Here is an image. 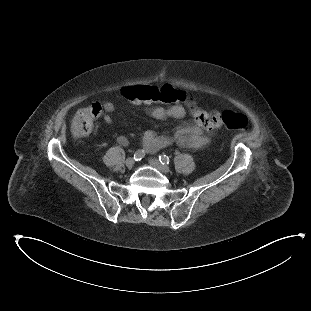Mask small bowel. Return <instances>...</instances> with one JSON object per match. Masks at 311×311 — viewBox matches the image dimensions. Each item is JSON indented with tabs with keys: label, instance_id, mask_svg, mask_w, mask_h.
I'll return each mask as SVG.
<instances>
[{
	"label": "small bowel",
	"instance_id": "c3829d8e",
	"mask_svg": "<svg viewBox=\"0 0 311 311\" xmlns=\"http://www.w3.org/2000/svg\"><path fill=\"white\" fill-rule=\"evenodd\" d=\"M104 110L106 113H111L116 110V105L113 102H105ZM147 113L154 119L164 120L167 118L182 119L186 115V110L181 105H173L168 108L158 106H148ZM104 121L108 125L113 124V119L108 114L104 115ZM209 138L205 134L203 127L199 123H191L180 128L174 136H161L153 131H147L142 138L144 149L153 153L172 143H176L183 147L199 149L207 144ZM119 144L126 146L128 140L125 136L118 138Z\"/></svg>",
	"mask_w": 311,
	"mask_h": 311
}]
</instances>
